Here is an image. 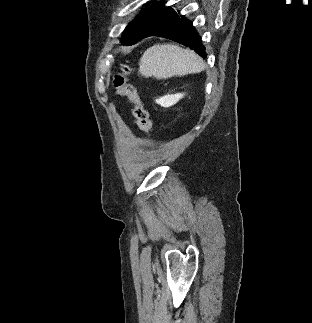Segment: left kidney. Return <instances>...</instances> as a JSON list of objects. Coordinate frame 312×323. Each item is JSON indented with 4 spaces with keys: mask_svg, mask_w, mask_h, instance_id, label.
<instances>
[{
    "mask_svg": "<svg viewBox=\"0 0 312 323\" xmlns=\"http://www.w3.org/2000/svg\"><path fill=\"white\" fill-rule=\"evenodd\" d=\"M183 96L184 94H171V96H163V98H159L156 102L157 104H160V106H163V108H170V106L177 104Z\"/></svg>",
    "mask_w": 312,
    "mask_h": 323,
    "instance_id": "5707ae66",
    "label": "left kidney"
}]
</instances>
